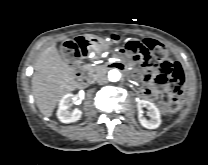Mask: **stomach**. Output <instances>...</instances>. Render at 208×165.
Instances as JSON below:
<instances>
[{
    "label": "stomach",
    "instance_id": "1",
    "mask_svg": "<svg viewBox=\"0 0 208 165\" xmlns=\"http://www.w3.org/2000/svg\"><path fill=\"white\" fill-rule=\"evenodd\" d=\"M85 40L88 43L89 49L95 52H102L111 45L109 41L95 35H87Z\"/></svg>",
    "mask_w": 208,
    "mask_h": 165
}]
</instances>
